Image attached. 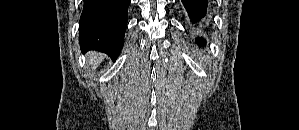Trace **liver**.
<instances>
[{
    "label": "liver",
    "instance_id": "6515ba94",
    "mask_svg": "<svg viewBox=\"0 0 299 130\" xmlns=\"http://www.w3.org/2000/svg\"><path fill=\"white\" fill-rule=\"evenodd\" d=\"M88 58L89 63L93 68L97 67L103 61V56L98 53H89Z\"/></svg>",
    "mask_w": 299,
    "mask_h": 130
}]
</instances>
